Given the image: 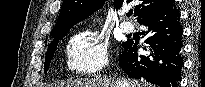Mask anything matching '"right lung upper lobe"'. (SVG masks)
<instances>
[{"label":"right lung upper lobe","instance_id":"obj_1","mask_svg":"<svg viewBox=\"0 0 205 87\" xmlns=\"http://www.w3.org/2000/svg\"><path fill=\"white\" fill-rule=\"evenodd\" d=\"M104 1L105 0H64L56 27L51 33L52 37L56 39L66 35L74 24L100 9ZM166 1L167 0H137V5L135 6L137 21L163 5ZM129 2H131V0H114V4L117 8Z\"/></svg>","mask_w":205,"mask_h":87}]
</instances>
